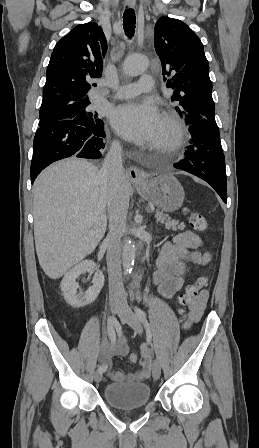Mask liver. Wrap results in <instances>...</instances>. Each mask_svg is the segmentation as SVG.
Here are the masks:
<instances>
[{
	"mask_svg": "<svg viewBox=\"0 0 259 448\" xmlns=\"http://www.w3.org/2000/svg\"><path fill=\"white\" fill-rule=\"evenodd\" d=\"M35 248L48 278L58 280L94 252L107 228V192L99 170L83 158L48 166L33 188Z\"/></svg>",
	"mask_w": 259,
	"mask_h": 448,
	"instance_id": "obj_1",
	"label": "liver"
}]
</instances>
